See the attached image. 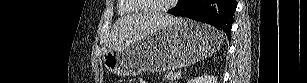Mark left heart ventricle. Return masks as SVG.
Wrapping results in <instances>:
<instances>
[{"label":"left heart ventricle","instance_id":"1","mask_svg":"<svg viewBox=\"0 0 307 83\" xmlns=\"http://www.w3.org/2000/svg\"><path fill=\"white\" fill-rule=\"evenodd\" d=\"M142 2L145 3L147 9L152 10L166 5L169 0H142Z\"/></svg>","mask_w":307,"mask_h":83}]
</instances>
